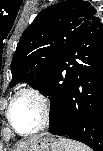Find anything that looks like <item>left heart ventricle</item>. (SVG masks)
I'll return each instance as SVG.
<instances>
[{
    "label": "left heart ventricle",
    "instance_id": "obj_1",
    "mask_svg": "<svg viewBox=\"0 0 103 151\" xmlns=\"http://www.w3.org/2000/svg\"><path fill=\"white\" fill-rule=\"evenodd\" d=\"M11 117L20 132L34 129L40 122V108L37 101L30 96H22L15 102Z\"/></svg>",
    "mask_w": 103,
    "mask_h": 151
}]
</instances>
